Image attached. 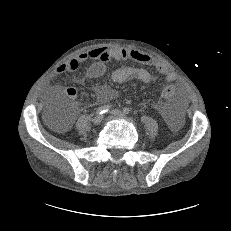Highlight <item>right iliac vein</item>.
I'll list each match as a JSON object with an SVG mask.
<instances>
[{
    "mask_svg": "<svg viewBox=\"0 0 231 231\" xmlns=\"http://www.w3.org/2000/svg\"><path fill=\"white\" fill-rule=\"evenodd\" d=\"M102 120H103V116L102 115H97V116L94 117L93 123L98 125V124H100L102 122Z\"/></svg>",
    "mask_w": 231,
    "mask_h": 231,
    "instance_id": "right-iliac-vein-1",
    "label": "right iliac vein"
}]
</instances>
